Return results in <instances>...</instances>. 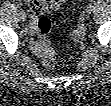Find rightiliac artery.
Listing matches in <instances>:
<instances>
[{
  "mask_svg": "<svg viewBox=\"0 0 111 106\" xmlns=\"http://www.w3.org/2000/svg\"><path fill=\"white\" fill-rule=\"evenodd\" d=\"M19 11H20V15H26V12L24 11V9L21 6H18Z\"/></svg>",
  "mask_w": 111,
  "mask_h": 106,
  "instance_id": "right-iliac-artery-1",
  "label": "right iliac artery"
}]
</instances>
